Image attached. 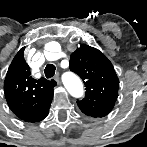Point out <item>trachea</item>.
Masks as SVG:
<instances>
[{
	"label": "trachea",
	"instance_id": "obj_1",
	"mask_svg": "<svg viewBox=\"0 0 147 147\" xmlns=\"http://www.w3.org/2000/svg\"><path fill=\"white\" fill-rule=\"evenodd\" d=\"M55 71H56L55 65H53V64H48V65L46 66L45 70H44V73H45V76H46L47 78H51V77L54 76Z\"/></svg>",
	"mask_w": 147,
	"mask_h": 147
}]
</instances>
